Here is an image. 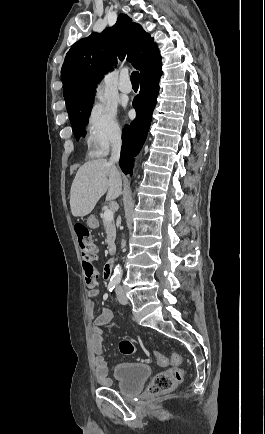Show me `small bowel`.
<instances>
[{
	"mask_svg": "<svg viewBox=\"0 0 265 434\" xmlns=\"http://www.w3.org/2000/svg\"><path fill=\"white\" fill-rule=\"evenodd\" d=\"M100 290L96 287L91 288L87 292L86 307L92 318L91 328V348L94 353L93 359V375L100 387H109L112 381L108 377L107 362L104 357L103 348V327L108 324L113 316L112 310L108 307H104L98 316H94V299L99 295ZM131 331L137 335L138 332L135 328L131 327ZM171 363H167L162 366H166Z\"/></svg>",
	"mask_w": 265,
	"mask_h": 434,
	"instance_id": "c3829d8e",
	"label": "small bowel"
}]
</instances>
